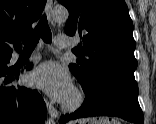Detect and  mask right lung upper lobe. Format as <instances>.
Wrapping results in <instances>:
<instances>
[{
	"label": "right lung upper lobe",
	"instance_id": "right-lung-upper-lobe-1",
	"mask_svg": "<svg viewBox=\"0 0 156 124\" xmlns=\"http://www.w3.org/2000/svg\"><path fill=\"white\" fill-rule=\"evenodd\" d=\"M46 0H0V56L12 52V46L21 50L19 41L31 31Z\"/></svg>",
	"mask_w": 156,
	"mask_h": 124
}]
</instances>
